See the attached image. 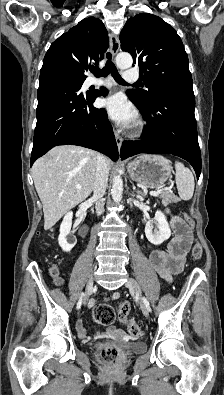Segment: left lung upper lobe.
Masks as SVG:
<instances>
[{
	"label": "left lung upper lobe",
	"mask_w": 224,
	"mask_h": 395,
	"mask_svg": "<svg viewBox=\"0 0 224 395\" xmlns=\"http://www.w3.org/2000/svg\"><path fill=\"white\" fill-rule=\"evenodd\" d=\"M121 49L139 65L147 90H130L138 103L151 105L160 98L193 93L184 45L175 29L152 14L130 18L120 34Z\"/></svg>",
	"instance_id": "5c2ea615"
}]
</instances>
